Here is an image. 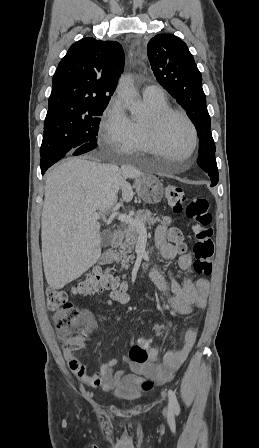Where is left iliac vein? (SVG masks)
<instances>
[{
    "label": "left iliac vein",
    "mask_w": 259,
    "mask_h": 448,
    "mask_svg": "<svg viewBox=\"0 0 259 448\" xmlns=\"http://www.w3.org/2000/svg\"><path fill=\"white\" fill-rule=\"evenodd\" d=\"M163 413H164V415L167 414V408H164Z\"/></svg>",
    "instance_id": "left-iliac-vein-1"
}]
</instances>
